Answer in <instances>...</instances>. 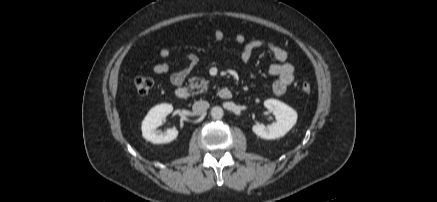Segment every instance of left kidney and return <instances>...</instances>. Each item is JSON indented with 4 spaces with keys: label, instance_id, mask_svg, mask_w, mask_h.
<instances>
[{
    "label": "left kidney",
    "instance_id": "1",
    "mask_svg": "<svg viewBox=\"0 0 437 202\" xmlns=\"http://www.w3.org/2000/svg\"><path fill=\"white\" fill-rule=\"evenodd\" d=\"M264 106L274 114L276 122L267 127L259 123L253 125L252 131L257 136L267 140L280 138L296 124L297 112L285 103L276 99H268L264 102Z\"/></svg>",
    "mask_w": 437,
    "mask_h": 202
}]
</instances>
